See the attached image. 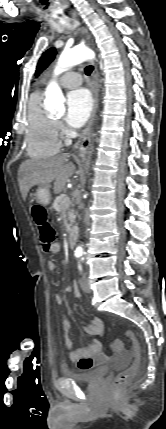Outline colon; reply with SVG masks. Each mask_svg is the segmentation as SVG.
Segmentation results:
<instances>
[{
    "label": "colon",
    "mask_w": 166,
    "mask_h": 429,
    "mask_svg": "<svg viewBox=\"0 0 166 429\" xmlns=\"http://www.w3.org/2000/svg\"><path fill=\"white\" fill-rule=\"evenodd\" d=\"M33 218L37 224L40 233L42 247L48 250L57 240V233L48 220L47 212L41 205H34L32 208ZM125 336L131 340L132 348L131 355L134 357L132 363L123 371H121L113 382V387L116 390L125 388L135 377L138 371L140 362V348L138 341L131 331H127ZM111 348L115 351L123 349V342L116 339L111 343Z\"/></svg>",
    "instance_id": "5ec220e1"
}]
</instances>
